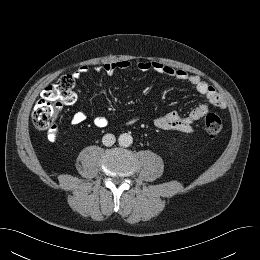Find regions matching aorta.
<instances>
[{
	"label": "aorta",
	"mask_w": 260,
	"mask_h": 260,
	"mask_svg": "<svg viewBox=\"0 0 260 260\" xmlns=\"http://www.w3.org/2000/svg\"><path fill=\"white\" fill-rule=\"evenodd\" d=\"M118 142L122 147H129L133 143V138L130 134L123 133L119 136Z\"/></svg>",
	"instance_id": "1"
}]
</instances>
